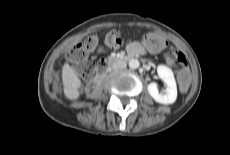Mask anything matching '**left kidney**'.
Listing matches in <instances>:
<instances>
[{
    "instance_id": "left-kidney-1",
    "label": "left kidney",
    "mask_w": 230,
    "mask_h": 155,
    "mask_svg": "<svg viewBox=\"0 0 230 155\" xmlns=\"http://www.w3.org/2000/svg\"><path fill=\"white\" fill-rule=\"evenodd\" d=\"M159 78L165 83V93H160L157 84L152 82L148 85L147 90L151 97L161 104H173L177 98V86L172 70L165 66L159 65L157 68Z\"/></svg>"
}]
</instances>
